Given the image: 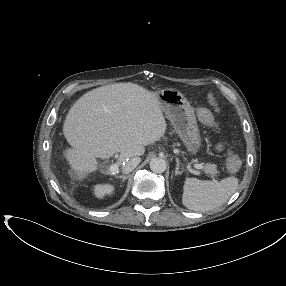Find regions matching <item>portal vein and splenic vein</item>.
<instances>
[{
    "label": "portal vein and splenic vein",
    "instance_id": "18ae733b",
    "mask_svg": "<svg viewBox=\"0 0 286 286\" xmlns=\"http://www.w3.org/2000/svg\"><path fill=\"white\" fill-rule=\"evenodd\" d=\"M193 165H194V167L196 169H199V170L204 169V166L202 164H193ZM110 171H111L112 174L117 173L118 172V165L117 164H112L110 166Z\"/></svg>",
    "mask_w": 286,
    "mask_h": 286
}]
</instances>
